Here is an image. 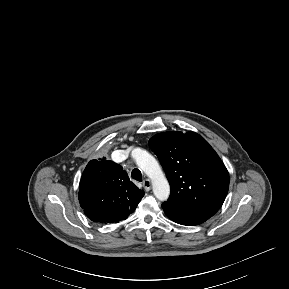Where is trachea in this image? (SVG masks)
Returning a JSON list of instances; mask_svg holds the SVG:
<instances>
[{
    "instance_id": "3493384b",
    "label": "trachea",
    "mask_w": 289,
    "mask_h": 289,
    "mask_svg": "<svg viewBox=\"0 0 289 289\" xmlns=\"http://www.w3.org/2000/svg\"><path fill=\"white\" fill-rule=\"evenodd\" d=\"M131 176L133 179L141 182L142 181V173L139 169H133L132 173H131Z\"/></svg>"
}]
</instances>
